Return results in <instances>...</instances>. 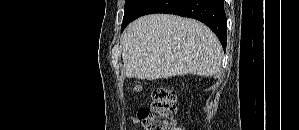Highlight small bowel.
Returning <instances> with one entry per match:
<instances>
[{
    "mask_svg": "<svg viewBox=\"0 0 299 130\" xmlns=\"http://www.w3.org/2000/svg\"><path fill=\"white\" fill-rule=\"evenodd\" d=\"M131 121H132L133 123H137V122H138V119L135 118V117H131Z\"/></svg>",
    "mask_w": 299,
    "mask_h": 130,
    "instance_id": "obj_1",
    "label": "small bowel"
}]
</instances>
